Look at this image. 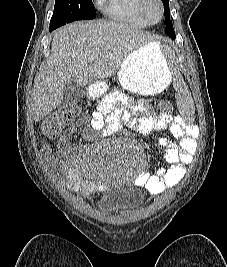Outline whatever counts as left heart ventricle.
Here are the masks:
<instances>
[{
	"mask_svg": "<svg viewBox=\"0 0 227 267\" xmlns=\"http://www.w3.org/2000/svg\"><path fill=\"white\" fill-rule=\"evenodd\" d=\"M148 13L152 20H156L158 18L159 9H158V5L155 2L153 1L149 2Z\"/></svg>",
	"mask_w": 227,
	"mask_h": 267,
	"instance_id": "b2bd125f",
	"label": "left heart ventricle"
}]
</instances>
